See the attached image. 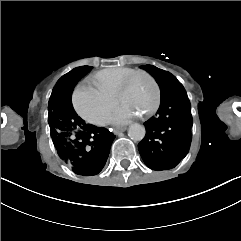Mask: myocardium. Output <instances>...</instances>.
<instances>
[{
	"label": "myocardium",
	"mask_w": 241,
	"mask_h": 241,
	"mask_svg": "<svg viewBox=\"0 0 241 241\" xmlns=\"http://www.w3.org/2000/svg\"><path fill=\"white\" fill-rule=\"evenodd\" d=\"M147 78V81L151 83V86L153 87L155 99L153 102V105L149 107L148 110L145 111V113H142V118H148L151 114H154V111L156 108H158V105L161 100V90L158 89L157 81H155V75L154 73H150V71H144V70H134L130 74H126L122 82L119 84V88L117 90V100H123L125 99L123 92L128 84L131 82L138 80L139 77Z\"/></svg>",
	"instance_id": "obj_1"
}]
</instances>
